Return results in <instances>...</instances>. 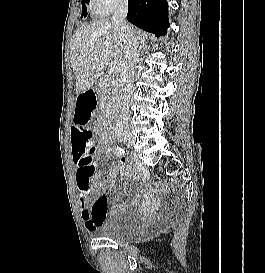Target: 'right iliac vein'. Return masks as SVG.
<instances>
[{
    "label": "right iliac vein",
    "mask_w": 265,
    "mask_h": 273,
    "mask_svg": "<svg viewBox=\"0 0 265 273\" xmlns=\"http://www.w3.org/2000/svg\"><path fill=\"white\" fill-rule=\"evenodd\" d=\"M118 140L120 142H124L127 145H133L135 143V138L130 134H125L123 136H119Z\"/></svg>",
    "instance_id": "1"
}]
</instances>
